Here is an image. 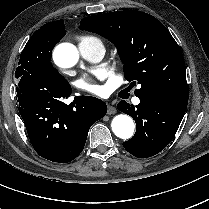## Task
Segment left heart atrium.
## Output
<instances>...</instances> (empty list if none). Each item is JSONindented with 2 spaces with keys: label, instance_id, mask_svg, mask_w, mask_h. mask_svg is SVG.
<instances>
[{
  "label": "left heart atrium",
  "instance_id": "39dd6f15",
  "mask_svg": "<svg viewBox=\"0 0 209 209\" xmlns=\"http://www.w3.org/2000/svg\"><path fill=\"white\" fill-rule=\"evenodd\" d=\"M77 86L80 90L87 92L95 96L102 95V87L93 79L84 77L77 82Z\"/></svg>",
  "mask_w": 209,
  "mask_h": 209
}]
</instances>
